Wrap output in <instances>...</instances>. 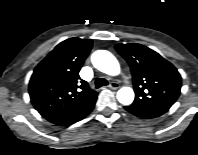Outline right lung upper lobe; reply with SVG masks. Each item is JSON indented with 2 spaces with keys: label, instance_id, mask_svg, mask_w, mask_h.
Returning a JSON list of instances; mask_svg holds the SVG:
<instances>
[{
  "label": "right lung upper lobe",
  "instance_id": "right-lung-upper-lobe-1",
  "mask_svg": "<svg viewBox=\"0 0 198 155\" xmlns=\"http://www.w3.org/2000/svg\"><path fill=\"white\" fill-rule=\"evenodd\" d=\"M91 48L90 39H67L35 68L29 83V94L35 109L44 118L68 112L97 94L79 76Z\"/></svg>",
  "mask_w": 198,
  "mask_h": 155
}]
</instances>
